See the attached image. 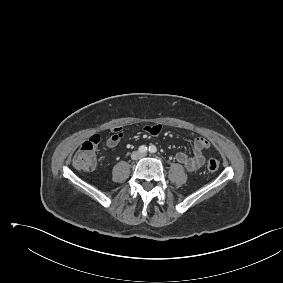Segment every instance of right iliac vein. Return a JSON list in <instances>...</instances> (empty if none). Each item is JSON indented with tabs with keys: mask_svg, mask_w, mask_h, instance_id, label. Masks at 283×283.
<instances>
[{
	"mask_svg": "<svg viewBox=\"0 0 283 283\" xmlns=\"http://www.w3.org/2000/svg\"><path fill=\"white\" fill-rule=\"evenodd\" d=\"M132 158L135 159V160L138 159L139 153H137V152L133 153Z\"/></svg>",
	"mask_w": 283,
	"mask_h": 283,
	"instance_id": "63e3f726",
	"label": "right iliac vein"
}]
</instances>
